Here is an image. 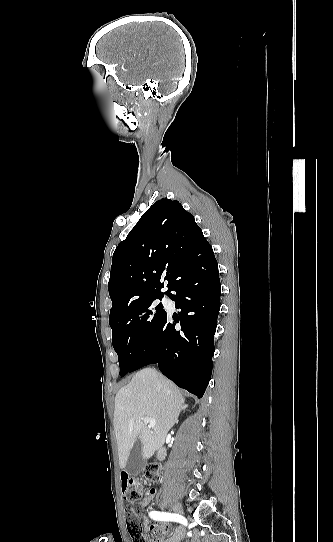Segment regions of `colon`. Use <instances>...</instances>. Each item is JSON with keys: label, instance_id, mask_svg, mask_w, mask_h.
<instances>
[{"label": "colon", "instance_id": "colon-1", "mask_svg": "<svg viewBox=\"0 0 333 542\" xmlns=\"http://www.w3.org/2000/svg\"><path fill=\"white\" fill-rule=\"evenodd\" d=\"M159 478V468L155 464L147 465L140 476H129L128 489H124L123 497L130 501L125 504L127 512L128 530L133 542H146L141 520L140 505L136 502H144L146 496V483L154 482Z\"/></svg>", "mask_w": 333, "mask_h": 542}]
</instances>
